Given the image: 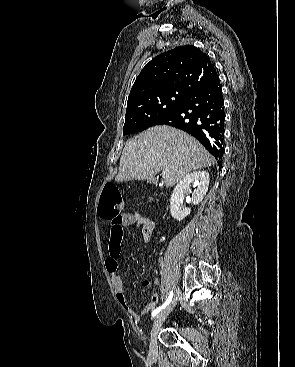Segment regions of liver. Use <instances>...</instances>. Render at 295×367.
Wrapping results in <instances>:
<instances>
[{
    "label": "liver",
    "instance_id": "1",
    "mask_svg": "<svg viewBox=\"0 0 295 367\" xmlns=\"http://www.w3.org/2000/svg\"><path fill=\"white\" fill-rule=\"evenodd\" d=\"M215 163L213 156L192 136L169 126L151 127L125 144L115 180H154L160 171L166 187L174 186L191 171Z\"/></svg>",
    "mask_w": 295,
    "mask_h": 367
}]
</instances>
